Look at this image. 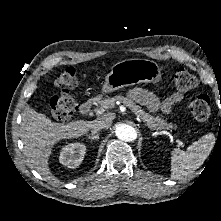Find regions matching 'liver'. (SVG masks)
<instances>
[{
    "label": "liver",
    "instance_id": "6515ba94",
    "mask_svg": "<svg viewBox=\"0 0 221 221\" xmlns=\"http://www.w3.org/2000/svg\"><path fill=\"white\" fill-rule=\"evenodd\" d=\"M114 118L113 113H106L94 121L77 120L64 125L52 122L44 114L26 106L22 113L20 130L29 165L47 179L54 180L48 166L54 144L61 139L77 138L86 134L98 122H104L106 128H109Z\"/></svg>",
    "mask_w": 221,
    "mask_h": 221
}]
</instances>
